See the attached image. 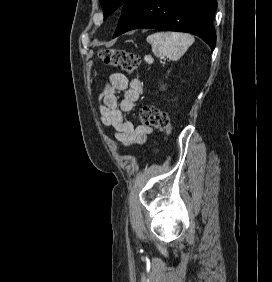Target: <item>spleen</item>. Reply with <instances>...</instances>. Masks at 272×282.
<instances>
[{"label":"spleen","instance_id":"3e777b00","mask_svg":"<svg viewBox=\"0 0 272 282\" xmlns=\"http://www.w3.org/2000/svg\"><path fill=\"white\" fill-rule=\"evenodd\" d=\"M147 42L151 44L155 56L177 60L193 44L194 37L178 32H157L149 35Z\"/></svg>","mask_w":272,"mask_h":282}]
</instances>
